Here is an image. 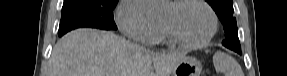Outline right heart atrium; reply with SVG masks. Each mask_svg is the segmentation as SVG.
I'll return each mask as SVG.
<instances>
[{
    "mask_svg": "<svg viewBox=\"0 0 287 76\" xmlns=\"http://www.w3.org/2000/svg\"><path fill=\"white\" fill-rule=\"evenodd\" d=\"M115 20L120 30L133 40L150 43L156 37V21L143 12L137 0H122Z\"/></svg>",
    "mask_w": 287,
    "mask_h": 76,
    "instance_id": "obj_1",
    "label": "right heart atrium"
}]
</instances>
